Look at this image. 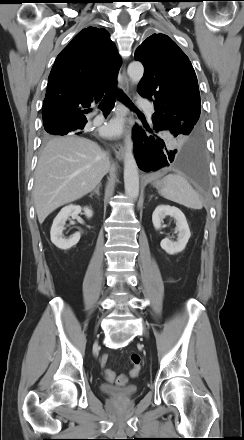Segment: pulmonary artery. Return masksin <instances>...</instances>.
<instances>
[{"label": "pulmonary artery", "mask_w": 244, "mask_h": 440, "mask_svg": "<svg viewBox=\"0 0 244 440\" xmlns=\"http://www.w3.org/2000/svg\"><path fill=\"white\" fill-rule=\"evenodd\" d=\"M139 106H141L142 108H144L147 112V115L149 118H151L153 112H154V107L153 105L147 101L146 99H140L138 101ZM103 117L101 115L95 116V122H100L102 121Z\"/></svg>", "instance_id": "e3ab8cb5"}]
</instances>
